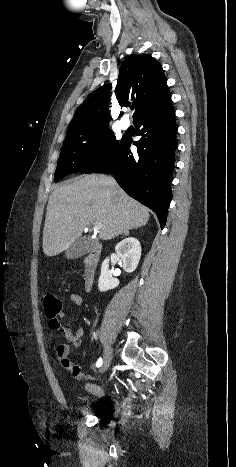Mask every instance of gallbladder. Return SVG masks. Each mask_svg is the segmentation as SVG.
<instances>
[{
  "mask_svg": "<svg viewBox=\"0 0 236 467\" xmlns=\"http://www.w3.org/2000/svg\"><path fill=\"white\" fill-rule=\"evenodd\" d=\"M93 241L89 238H79L66 250L68 259H76L84 256L92 250Z\"/></svg>",
  "mask_w": 236,
  "mask_h": 467,
  "instance_id": "1",
  "label": "gallbladder"
}]
</instances>
